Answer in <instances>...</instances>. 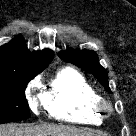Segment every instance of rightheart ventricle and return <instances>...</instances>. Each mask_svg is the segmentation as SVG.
Masks as SVG:
<instances>
[{
	"mask_svg": "<svg viewBox=\"0 0 136 136\" xmlns=\"http://www.w3.org/2000/svg\"><path fill=\"white\" fill-rule=\"evenodd\" d=\"M100 96L93 85L77 70H60L44 97L49 114L61 121L74 124H98L101 115L95 105Z\"/></svg>",
	"mask_w": 136,
	"mask_h": 136,
	"instance_id": "e07e8e85",
	"label": "right heart ventricle"
}]
</instances>
